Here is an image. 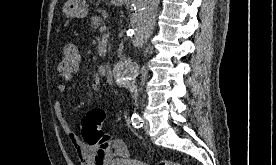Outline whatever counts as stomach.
Listing matches in <instances>:
<instances>
[{
    "label": "stomach",
    "instance_id": "obj_1",
    "mask_svg": "<svg viewBox=\"0 0 276 165\" xmlns=\"http://www.w3.org/2000/svg\"><path fill=\"white\" fill-rule=\"evenodd\" d=\"M115 5H122L124 0H112ZM63 13L70 18H84L88 14V5L85 0H68L63 7Z\"/></svg>",
    "mask_w": 276,
    "mask_h": 165
}]
</instances>
